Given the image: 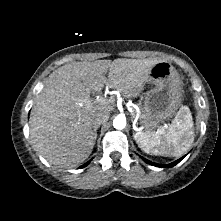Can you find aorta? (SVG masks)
<instances>
[{"instance_id": "obj_1", "label": "aorta", "mask_w": 221, "mask_h": 221, "mask_svg": "<svg viewBox=\"0 0 221 221\" xmlns=\"http://www.w3.org/2000/svg\"><path fill=\"white\" fill-rule=\"evenodd\" d=\"M113 126L115 129H123L126 126V118L123 115H118L113 120Z\"/></svg>"}]
</instances>
